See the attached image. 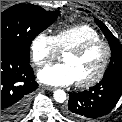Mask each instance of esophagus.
I'll return each instance as SVG.
<instances>
[{
	"label": "esophagus",
	"mask_w": 122,
	"mask_h": 122,
	"mask_svg": "<svg viewBox=\"0 0 122 122\" xmlns=\"http://www.w3.org/2000/svg\"><path fill=\"white\" fill-rule=\"evenodd\" d=\"M41 87H42V89H44V90H49V91H54V90H55L54 87H51V86H48V85H42Z\"/></svg>",
	"instance_id": "34e87169"
}]
</instances>
